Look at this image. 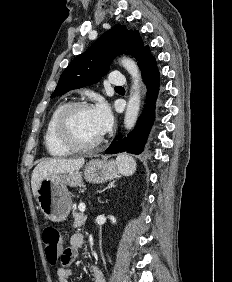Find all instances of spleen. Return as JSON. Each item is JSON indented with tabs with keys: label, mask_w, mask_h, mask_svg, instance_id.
Here are the masks:
<instances>
[{
	"label": "spleen",
	"mask_w": 232,
	"mask_h": 282,
	"mask_svg": "<svg viewBox=\"0 0 232 282\" xmlns=\"http://www.w3.org/2000/svg\"><path fill=\"white\" fill-rule=\"evenodd\" d=\"M116 164L121 174L125 176L132 175L136 169L135 160L128 155H119L116 158Z\"/></svg>",
	"instance_id": "3e777b00"
}]
</instances>
